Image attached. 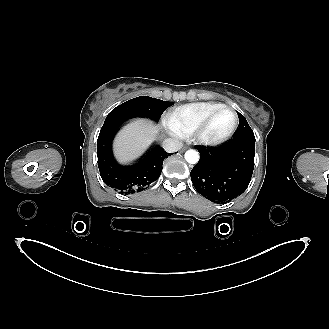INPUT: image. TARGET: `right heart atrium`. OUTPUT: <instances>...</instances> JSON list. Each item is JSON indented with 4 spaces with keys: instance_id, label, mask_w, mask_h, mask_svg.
Instances as JSON below:
<instances>
[{
    "instance_id": "d8ad5b80",
    "label": "right heart atrium",
    "mask_w": 329,
    "mask_h": 329,
    "mask_svg": "<svg viewBox=\"0 0 329 329\" xmlns=\"http://www.w3.org/2000/svg\"><path fill=\"white\" fill-rule=\"evenodd\" d=\"M169 128L171 131V134L176 136V137H181V135L169 124Z\"/></svg>"
}]
</instances>
